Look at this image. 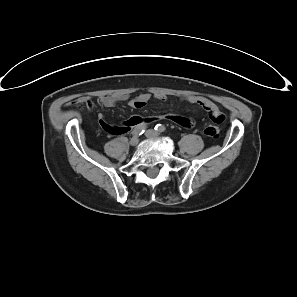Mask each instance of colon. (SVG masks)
I'll list each match as a JSON object with an SVG mask.
<instances>
[{
  "label": "colon",
  "mask_w": 297,
  "mask_h": 297,
  "mask_svg": "<svg viewBox=\"0 0 297 297\" xmlns=\"http://www.w3.org/2000/svg\"><path fill=\"white\" fill-rule=\"evenodd\" d=\"M76 104L79 108L87 110H92L95 107L94 102L90 100H81L78 101ZM211 118L216 124L221 123L224 119V117L221 115L213 116ZM204 134L209 138H217L219 136V128L215 125H209L205 127Z\"/></svg>",
  "instance_id": "obj_1"
}]
</instances>
